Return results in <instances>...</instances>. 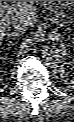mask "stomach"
Instances as JSON below:
<instances>
[{"mask_svg": "<svg viewBox=\"0 0 74 122\" xmlns=\"http://www.w3.org/2000/svg\"><path fill=\"white\" fill-rule=\"evenodd\" d=\"M65 7H70L72 5V1H58Z\"/></svg>", "mask_w": 74, "mask_h": 122, "instance_id": "1", "label": "stomach"}]
</instances>
